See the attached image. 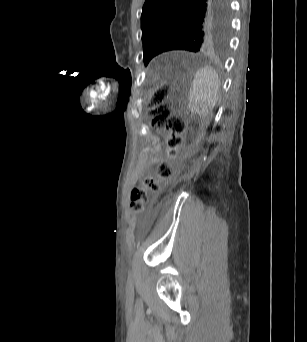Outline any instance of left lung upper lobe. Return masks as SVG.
Wrapping results in <instances>:
<instances>
[{"mask_svg":"<svg viewBox=\"0 0 307 342\" xmlns=\"http://www.w3.org/2000/svg\"><path fill=\"white\" fill-rule=\"evenodd\" d=\"M228 0H146L141 15L145 65L169 50L223 52L228 44Z\"/></svg>","mask_w":307,"mask_h":342,"instance_id":"1","label":"left lung upper lobe"}]
</instances>
